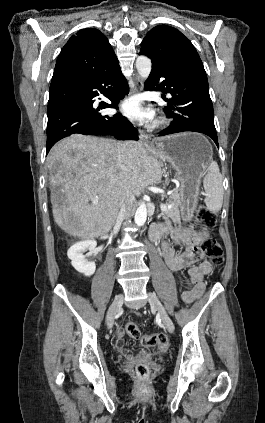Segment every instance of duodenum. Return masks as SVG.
Masks as SVG:
<instances>
[{"label": "duodenum", "instance_id": "410a0bca", "mask_svg": "<svg viewBox=\"0 0 265 423\" xmlns=\"http://www.w3.org/2000/svg\"><path fill=\"white\" fill-rule=\"evenodd\" d=\"M151 238L154 242H157L164 235V231L159 227L153 226L150 230Z\"/></svg>", "mask_w": 265, "mask_h": 423}]
</instances>
